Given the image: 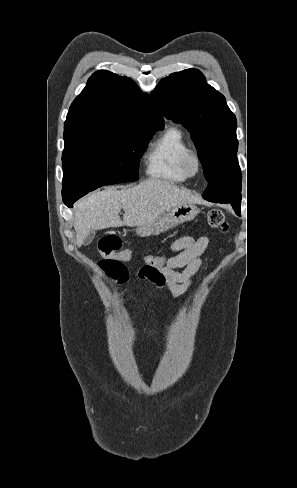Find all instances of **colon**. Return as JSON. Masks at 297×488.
Listing matches in <instances>:
<instances>
[{
	"label": "colon",
	"mask_w": 297,
	"mask_h": 488,
	"mask_svg": "<svg viewBox=\"0 0 297 488\" xmlns=\"http://www.w3.org/2000/svg\"><path fill=\"white\" fill-rule=\"evenodd\" d=\"M207 223L211 228L222 232L228 230L225 215L219 209H212L207 214ZM98 249L103 258L99 261L100 268L111 278L122 284L128 279V269L124 262L133 259V252L122 249L120 240L115 235H105L98 244ZM170 257V256H168ZM166 256L146 255L144 265L140 268L138 276L145 279L150 273L162 268L166 264Z\"/></svg>",
	"instance_id": "5ec220e1"
}]
</instances>
